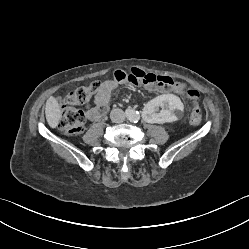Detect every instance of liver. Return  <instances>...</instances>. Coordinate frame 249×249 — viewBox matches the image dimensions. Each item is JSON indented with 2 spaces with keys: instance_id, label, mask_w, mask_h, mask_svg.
Wrapping results in <instances>:
<instances>
[{
  "instance_id": "6515ba94",
  "label": "liver",
  "mask_w": 249,
  "mask_h": 249,
  "mask_svg": "<svg viewBox=\"0 0 249 249\" xmlns=\"http://www.w3.org/2000/svg\"><path fill=\"white\" fill-rule=\"evenodd\" d=\"M45 115L49 126L56 128L61 119L62 112L58 101L53 96H50L46 101Z\"/></svg>"
}]
</instances>
